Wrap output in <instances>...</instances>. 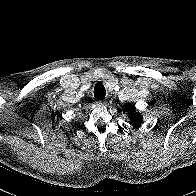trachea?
Instances as JSON below:
<instances>
[{
    "instance_id": "3493384b",
    "label": "trachea",
    "mask_w": 196,
    "mask_h": 196,
    "mask_svg": "<svg viewBox=\"0 0 196 196\" xmlns=\"http://www.w3.org/2000/svg\"><path fill=\"white\" fill-rule=\"evenodd\" d=\"M106 95V90L101 82L96 83L94 87V96L97 99H103Z\"/></svg>"
}]
</instances>
